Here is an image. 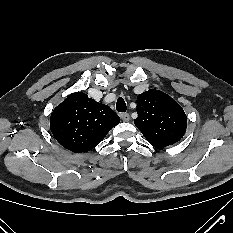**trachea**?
<instances>
[{
	"instance_id": "obj_1",
	"label": "trachea",
	"mask_w": 233,
	"mask_h": 233,
	"mask_svg": "<svg viewBox=\"0 0 233 233\" xmlns=\"http://www.w3.org/2000/svg\"><path fill=\"white\" fill-rule=\"evenodd\" d=\"M116 110L118 112H126V110H127L126 103H125L124 99L121 97L117 100Z\"/></svg>"
}]
</instances>
